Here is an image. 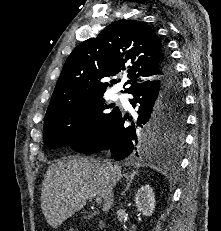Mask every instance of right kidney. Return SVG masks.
<instances>
[{"label":"right kidney","instance_id":"right-kidney-1","mask_svg":"<svg viewBox=\"0 0 221 231\" xmlns=\"http://www.w3.org/2000/svg\"><path fill=\"white\" fill-rule=\"evenodd\" d=\"M135 205L144 216L150 217L155 209V194L149 185L142 186L135 195Z\"/></svg>","mask_w":221,"mask_h":231}]
</instances>
